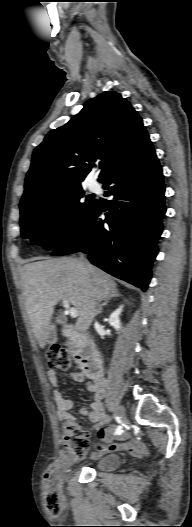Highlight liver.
Returning a JSON list of instances; mask_svg holds the SVG:
<instances>
[{
    "label": "liver",
    "mask_w": 192,
    "mask_h": 527,
    "mask_svg": "<svg viewBox=\"0 0 192 527\" xmlns=\"http://www.w3.org/2000/svg\"><path fill=\"white\" fill-rule=\"evenodd\" d=\"M25 307L41 348L46 345L54 306L66 299L78 311L74 328L86 331L97 304L117 291V284L88 261L72 257L25 264L20 270Z\"/></svg>",
    "instance_id": "6515ba94"
}]
</instances>
